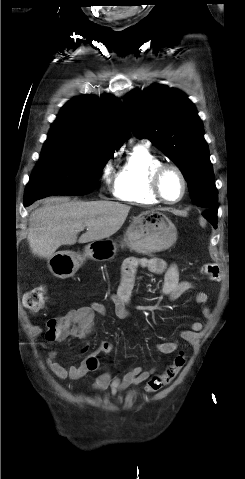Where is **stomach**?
<instances>
[{
	"mask_svg": "<svg viewBox=\"0 0 245 479\" xmlns=\"http://www.w3.org/2000/svg\"><path fill=\"white\" fill-rule=\"evenodd\" d=\"M177 240V229L162 213L146 211L134 217L128 227L122 246L140 254H151L170 248ZM117 244L111 239L93 241L84 253L59 251L48 259L51 273L58 278L72 277L86 258L109 261L116 256Z\"/></svg>",
	"mask_w": 245,
	"mask_h": 479,
	"instance_id": "0dacf381",
	"label": "stomach"
}]
</instances>
